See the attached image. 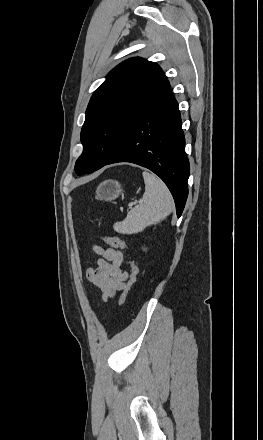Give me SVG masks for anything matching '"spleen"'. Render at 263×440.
I'll return each instance as SVG.
<instances>
[{
	"label": "spleen",
	"instance_id": "obj_1",
	"mask_svg": "<svg viewBox=\"0 0 263 440\" xmlns=\"http://www.w3.org/2000/svg\"><path fill=\"white\" fill-rule=\"evenodd\" d=\"M142 175L145 182L142 202L132 208L123 221L114 224V230L119 233L141 232L148 226L160 223L173 211V198L165 183L147 171Z\"/></svg>",
	"mask_w": 263,
	"mask_h": 440
}]
</instances>
